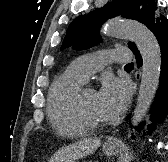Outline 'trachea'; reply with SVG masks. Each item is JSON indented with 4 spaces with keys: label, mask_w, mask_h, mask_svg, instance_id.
I'll return each mask as SVG.
<instances>
[{
    "label": "trachea",
    "mask_w": 168,
    "mask_h": 162,
    "mask_svg": "<svg viewBox=\"0 0 168 162\" xmlns=\"http://www.w3.org/2000/svg\"><path fill=\"white\" fill-rule=\"evenodd\" d=\"M125 67H134L133 63L126 64Z\"/></svg>",
    "instance_id": "1"
}]
</instances>
